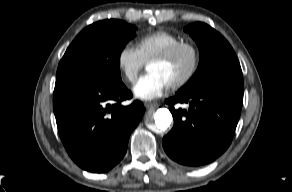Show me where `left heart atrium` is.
Listing matches in <instances>:
<instances>
[{
	"label": "left heart atrium",
	"instance_id": "obj_1",
	"mask_svg": "<svg viewBox=\"0 0 292 192\" xmlns=\"http://www.w3.org/2000/svg\"><path fill=\"white\" fill-rule=\"evenodd\" d=\"M169 84L159 74L148 71L133 87L135 96L142 100H152L161 96Z\"/></svg>",
	"mask_w": 292,
	"mask_h": 192
}]
</instances>
